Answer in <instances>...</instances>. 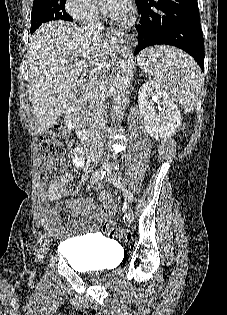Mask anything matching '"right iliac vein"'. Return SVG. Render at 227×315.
<instances>
[{
    "mask_svg": "<svg viewBox=\"0 0 227 315\" xmlns=\"http://www.w3.org/2000/svg\"><path fill=\"white\" fill-rule=\"evenodd\" d=\"M46 245H47V244H46ZM41 259H42V254L39 253V254H38V257L36 258V262H40Z\"/></svg>",
    "mask_w": 227,
    "mask_h": 315,
    "instance_id": "63e3f726",
    "label": "right iliac vein"
}]
</instances>
